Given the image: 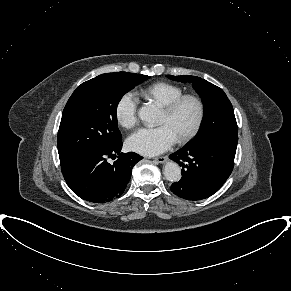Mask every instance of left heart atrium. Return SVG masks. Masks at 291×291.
<instances>
[{
  "mask_svg": "<svg viewBox=\"0 0 291 291\" xmlns=\"http://www.w3.org/2000/svg\"><path fill=\"white\" fill-rule=\"evenodd\" d=\"M176 141L171 129L167 125H160L138 130L128 138L127 145L135 152L153 156L168 150Z\"/></svg>",
  "mask_w": 291,
  "mask_h": 291,
  "instance_id": "1",
  "label": "left heart atrium"
}]
</instances>
